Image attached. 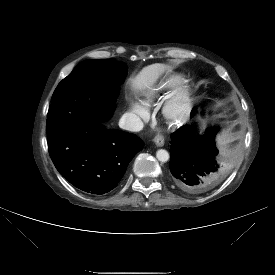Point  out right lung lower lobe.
Returning <instances> with one entry per match:
<instances>
[{
  "instance_id": "98d812e1",
  "label": "right lung lower lobe",
  "mask_w": 275,
  "mask_h": 275,
  "mask_svg": "<svg viewBox=\"0 0 275 275\" xmlns=\"http://www.w3.org/2000/svg\"><path fill=\"white\" fill-rule=\"evenodd\" d=\"M125 76L109 88L113 95L119 94ZM47 135L49 154L59 173L78 189L96 195L114 189L143 149L139 137L107 129L99 121H84Z\"/></svg>"
}]
</instances>
